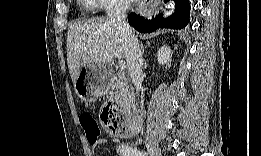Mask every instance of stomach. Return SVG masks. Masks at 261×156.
I'll return each instance as SVG.
<instances>
[{"label": "stomach", "mask_w": 261, "mask_h": 156, "mask_svg": "<svg viewBox=\"0 0 261 156\" xmlns=\"http://www.w3.org/2000/svg\"><path fill=\"white\" fill-rule=\"evenodd\" d=\"M110 86V69L107 64L86 66L83 75L80 73L74 84L75 91L82 101L94 102Z\"/></svg>", "instance_id": "0dacf381"}]
</instances>
